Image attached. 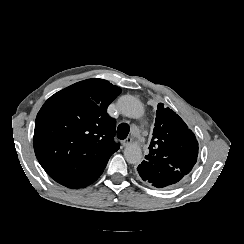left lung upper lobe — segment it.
I'll return each instance as SVG.
<instances>
[{"label":"left lung upper lobe","instance_id":"left-lung-upper-lobe-1","mask_svg":"<svg viewBox=\"0 0 244 244\" xmlns=\"http://www.w3.org/2000/svg\"><path fill=\"white\" fill-rule=\"evenodd\" d=\"M197 157L198 142L194 133L173 110L159 103L149 154L140 165L187 175Z\"/></svg>","mask_w":244,"mask_h":244}]
</instances>
